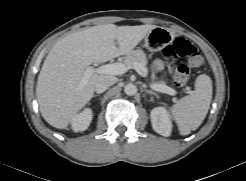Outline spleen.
Wrapping results in <instances>:
<instances>
[{
    "label": "spleen",
    "instance_id": "1",
    "mask_svg": "<svg viewBox=\"0 0 246 181\" xmlns=\"http://www.w3.org/2000/svg\"><path fill=\"white\" fill-rule=\"evenodd\" d=\"M212 80L202 74L196 78L195 91L185 96L170 107L181 135H188L196 130L205 119L212 100Z\"/></svg>",
    "mask_w": 246,
    "mask_h": 181
}]
</instances>
